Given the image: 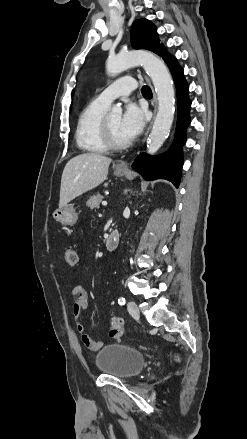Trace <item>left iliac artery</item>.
I'll return each instance as SVG.
<instances>
[{"mask_svg":"<svg viewBox=\"0 0 247 439\" xmlns=\"http://www.w3.org/2000/svg\"><path fill=\"white\" fill-rule=\"evenodd\" d=\"M125 298L124 297H120L119 299H118V303L120 304V305H125Z\"/></svg>","mask_w":247,"mask_h":439,"instance_id":"obj_1","label":"left iliac artery"}]
</instances>
